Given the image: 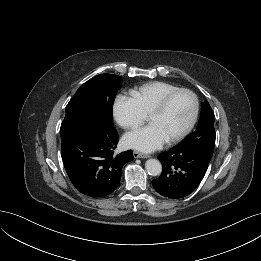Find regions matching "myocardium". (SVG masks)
<instances>
[{"mask_svg": "<svg viewBox=\"0 0 261 261\" xmlns=\"http://www.w3.org/2000/svg\"><path fill=\"white\" fill-rule=\"evenodd\" d=\"M180 94H188L191 96L192 100H193V111H192V115L191 118L188 122V124L186 125V127L179 132L178 134L168 138V141L170 142H176L179 141L181 139H183L185 136H187L189 134V132L192 130V128L194 127L198 114H199V109H200V103H199V99L198 96L196 95L195 92H193L192 90L189 89H178L176 91L171 92L170 94H168L150 113H149V117L153 116V115H158L161 114L163 112L166 111V109L168 108V106L170 105V103L173 101V99L175 97H177Z\"/></svg>", "mask_w": 261, "mask_h": 261, "instance_id": "myocardium-1", "label": "myocardium"}]
</instances>
